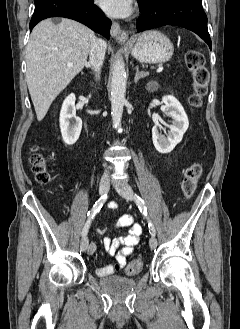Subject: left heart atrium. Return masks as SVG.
<instances>
[{"label":"left heart atrium","mask_w":240,"mask_h":329,"mask_svg":"<svg viewBox=\"0 0 240 329\" xmlns=\"http://www.w3.org/2000/svg\"><path fill=\"white\" fill-rule=\"evenodd\" d=\"M99 5L112 17H125L131 11V0H99Z\"/></svg>","instance_id":"obj_1"}]
</instances>
